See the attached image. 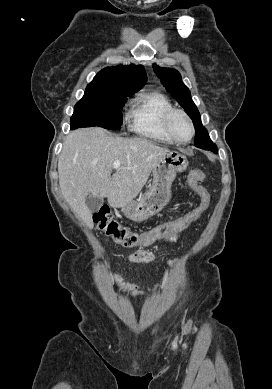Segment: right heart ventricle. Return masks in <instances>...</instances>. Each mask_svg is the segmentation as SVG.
<instances>
[{"label":"right heart ventricle","instance_id":"obj_1","mask_svg":"<svg viewBox=\"0 0 272 389\" xmlns=\"http://www.w3.org/2000/svg\"><path fill=\"white\" fill-rule=\"evenodd\" d=\"M171 108L170 100L162 92L153 90L142 93L133 100L128 113L130 130L153 141L173 143L163 126V117Z\"/></svg>","mask_w":272,"mask_h":389}]
</instances>
